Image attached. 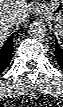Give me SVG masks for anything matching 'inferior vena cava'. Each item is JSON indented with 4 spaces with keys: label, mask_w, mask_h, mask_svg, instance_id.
<instances>
[{
    "label": "inferior vena cava",
    "mask_w": 63,
    "mask_h": 107,
    "mask_svg": "<svg viewBox=\"0 0 63 107\" xmlns=\"http://www.w3.org/2000/svg\"><path fill=\"white\" fill-rule=\"evenodd\" d=\"M6 24L13 26L16 23V17L10 16L5 20Z\"/></svg>",
    "instance_id": "602c4592"
}]
</instances>
